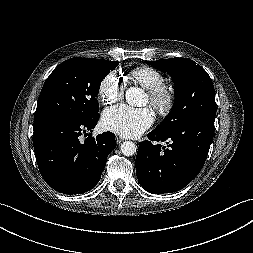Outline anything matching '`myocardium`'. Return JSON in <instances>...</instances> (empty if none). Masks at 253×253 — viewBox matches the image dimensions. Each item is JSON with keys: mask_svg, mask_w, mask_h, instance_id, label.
I'll use <instances>...</instances> for the list:
<instances>
[{"mask_svg": "<svg viewBox=\"0 0 253 253\" xmlns=\"http://www.w3.org/2000/svg\"><path fill=\"white\" fill-rule=\"evenodd\" d=\"M148 97L151 105L161 116L169 115L175 106V93L164 83L149 89Z\"/></svg>", "mask_w": 253, "mask_h": 253, "instance_id": "1", "label": "myocardium"}]
</instances>
